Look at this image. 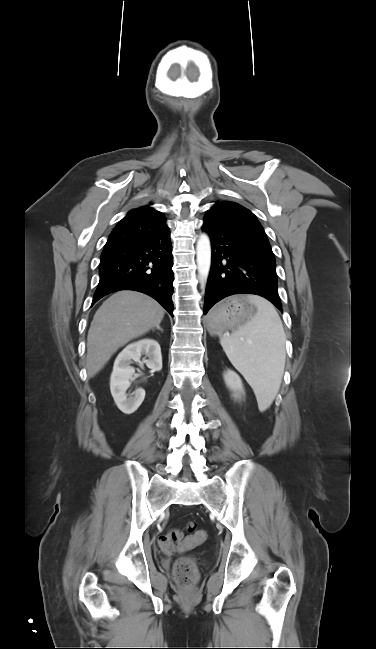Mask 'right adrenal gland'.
<instances>
[{
	"instance_id": "2a0ac1e0",
	"label": "right adrenal gland",
	"mask_w": 376,
	"mask_h": 649,
	"mask_svg": "<svg viewBox=\"0 0 376 649\" xmlns=\"http://www.w3.org/2000/svg\"><path fill=\"white\" fill-rule=\"evenodd\" d=\"M156 329H158L159 331H161V332H163V329H162V328H160V326H157V327H156ZM152 330L154 331V330H155V328H153Z\"/></svg>"
}]
</instances>
